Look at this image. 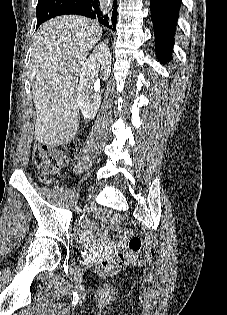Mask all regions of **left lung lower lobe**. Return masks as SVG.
<instances>
[{"instance_id":"0a47b994","label":"left lung lower lobe","mask_w":227,"mask_h":315,"mask_svg":"<svg viewBox=\"0 0 227 315\" xmlns=\"http://www.w3.org/2000/svg\"><path fill=\"white\" fill-rule=\"evenodd\" d=\"M156 38V56L165 63L172 59V47L181 0H150Z\"/></svg>"}]
</instances>
